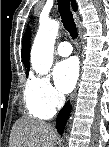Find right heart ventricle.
<instances>
[{
	"mask_svg": "<svg viewBox=\"0 0 109 147\" xmlns=\"http://www.w3.org/2000/svg\"><path fill=\"white\" fill-rule=\"evenodd\" d=\"M25 105L29 115H31L34 118L47 119L52 116V114L45 112L42 108H40L38 105L33 103L28 98L25 101Z\"/></svg>",
	"mask_w": 109,
	"mask_h": 147,
	"instance_id": "right-heart-ventricle-1",
	"label": "right heart ventricle"
}]
</instances>
